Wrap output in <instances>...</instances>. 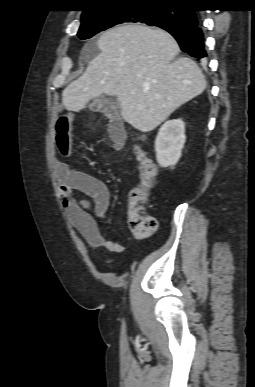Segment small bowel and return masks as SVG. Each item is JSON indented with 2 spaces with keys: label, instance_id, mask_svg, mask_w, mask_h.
<instances>
[{
  "label": "small bowel",
  "instance_id": "1",
  "mask_svg": "<svg viewBox=\"0 0 255 387\" xmlns=\"http://www.w3.org/2000/svg\"><path fill=\"white\" fill-rule=\"evenodd\" d=\"M109 133L115 150L126 140L125 130L119 120H112ZM56 147L62 156H68L72 146V117L61 116L56 123ZM55 171L59 182L58 193L66 217L74 229L92 246L122 253L124 246L109 240L100 230L96 218L105 219L110 204V191L98 178L71 168L57 158ZM82 196L89 197L90 201Z\"/></svg>",
  "mask_w": 255,
  "mask_h": 387
}]
</instances>
